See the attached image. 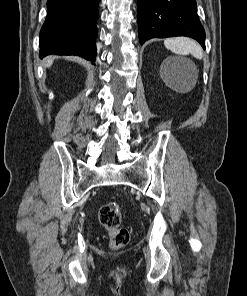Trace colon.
<instances>
[{"label":"colon","instance_id":"obj_1","mask_svg":"<svg viewBox=\"0 0 247 296\" xmlns=\"http://www.w3.org/2000/svg\"><path fill=\"white\" fill-rule=\"evenodd\" d=\"M99 221L110 236L113 249L126 246L130 240V231L121 226L120 207L116 202L103 204L98 213Z\"/></svg>","mask_w":247,"mask_h":296}]
</instances>
